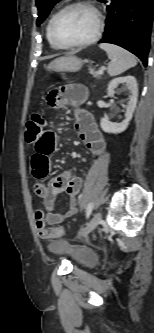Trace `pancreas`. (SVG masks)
<instances>
[{
  "label": "pancreas",
  "instance_id": "1",
  "mask_svg": "<svg viewBox=\"0 0 154 333\" xmlns=\"http://www.w3.org/2000/svg\"><path fill=\"white\" fill-rule=\"evenodd\" d=\"M90 74L93 75L94 77H99L101 74L99 73V71H96L95 69L91 68L90 70Z\"/></svg>",
  "mask_w": 154,
  "mask_h": 333
}]
</instances>
